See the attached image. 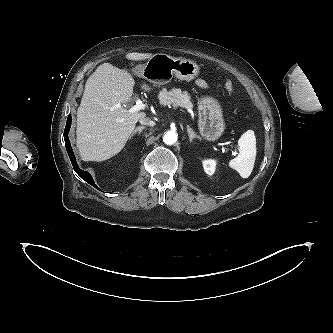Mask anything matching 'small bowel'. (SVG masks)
Segmentation results:
<instances>
[{
	"instance_id": "obj_1",
	"label": "small bowel",
	"mask_w": 333,
	"mask_h": 333,
	"mask_svg": "<svg viewBox=\"0 0 333 333\" xmlns=\"http://www.w3.org/2000/svg\"><path fill=\"white\" fill-rule=\"evenodd\" d=\"M198 85L201 86V87H203V88L207 87V84L203 80H199L198 81Z\"/></svg>"
}]
</instances>
